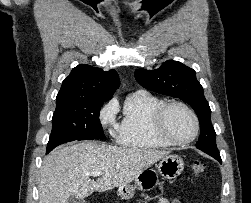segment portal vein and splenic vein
Masks as SVG:
<instances>
[{
	"mask_svg": "<svg viewBox=\"0 0 251 203\" xmlns=\"http://www.w3.org/2000/svg\"><path fill=\"white\" fill-rule=\"evenodd\" d=\"M91 175L94 176V177L101 176L102 172L96 171V172H93Z\"/></svg>",
	"mask_w": 251,
	"mask_h": 203,
	"instance_id": "portal-vein-and-splenic-vein-1",
	"label": "portal vein and splenic vein"
}]
</instances>
